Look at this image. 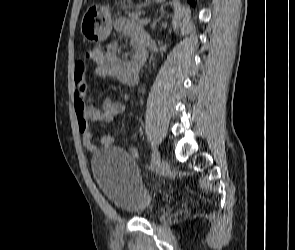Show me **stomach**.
I'll list each match as a JSON object with an SVG mask.
<instances>
[{"instance_id": "1", "label": "stomach", "mask_w": 295, "mask_h": 250, "mask_svg": "<svg viewBox=\"0 0 295 250\" xmlns=\"http://www.w3.org/2000/svg\"><path fill=\"white\" fill-rule=\"evenodd\" d=\"M161 3L165 0H155ZM125 5H123V8ZM83 36L89 41H102L112 30V12L108 5L93 4L84 13L80 25Z\"/></svg>"}]
</instances>
